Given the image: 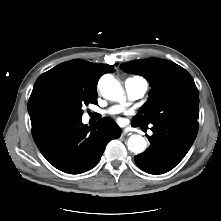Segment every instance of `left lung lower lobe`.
I'll return each instance as SVG.
<instances>
[{
    "mask_svg": "<svg viewBox=\"0 0 221 221\" xmlns=\"http://www.w3.org/2000/svg\"><path fill=\"white\" fill-rule=\"evenodd\" d=\"M133 126H141L133 121ZM150 147L135 156L137 166L149 174H163L173 169L192 146L198 126L173 122L154 123Z\"/></svg>",
    "mask_w": 221,
    "mask_h": 221,
    "instance_id": "0a47b994",
    "label": "left lung lower lobe"
}]
</instances>
